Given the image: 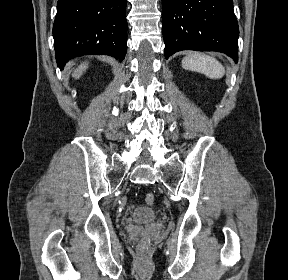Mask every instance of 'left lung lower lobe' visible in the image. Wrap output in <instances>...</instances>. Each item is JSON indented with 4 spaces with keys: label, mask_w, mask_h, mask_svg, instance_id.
I'll return each mask as SVG.
<instances>
[{
    "label": "left lung lower lobe",
    "mask_w": 288,
    "mask_h": 280,
    "mask_svg": "<svg viewBox=\"0 0 288 280\" xmlns=\"http://www.w3.org/2000/svg\"><path fill=\"white\" fill-rule=\"evenodd\" d=\"M165 58L181 50L218 51L238 61L232 0H162Z\"/></svg>",
    "instance_id": "obj_1"
}]
</instances>
